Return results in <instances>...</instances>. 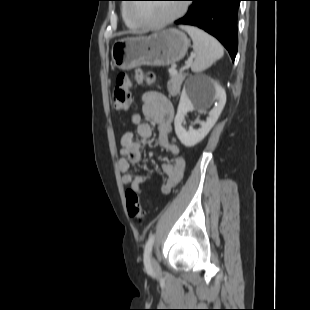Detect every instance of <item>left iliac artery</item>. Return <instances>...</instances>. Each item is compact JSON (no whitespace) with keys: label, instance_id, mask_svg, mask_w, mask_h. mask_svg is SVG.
I'll return each mask as SVG.
<instances>
[{"label":"left iliac artery","instance_id":"44dca946","mask_svg":"<svg viewBox=\"0 0 310 310\" xmlns=\"http://www.w3.org/2000/svg\"><path fill=\"white\" fill-rule=\"evenodd\" d=\"M154 240H155V236L153 234L150 235V237L148 238L146 242L145 249H144V264L147 269H150V266H151L150 255H151L152 247L154 244Z\"/></svg>","mask_w":310,"mask_h":310}]
</instances>
